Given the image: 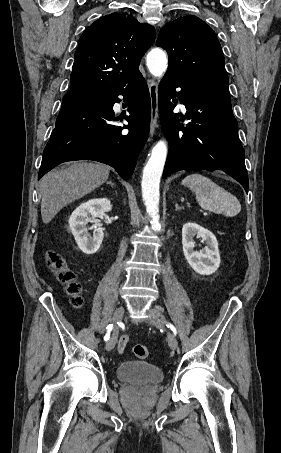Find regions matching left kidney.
I'll return each instance as SVG.
<instances>
[{
  "label": "left kidney",
  "instance_id": "5707ae66",
  "mask_svg": "<svg viewBox=\"0 0 281 453\" xmlns=\"http://www.w3.org/2000/svg\"><path fill=\"white\" fill-rule=\"evenodd\" d=\"M195 235L201 237L202 241L206 243V247L200 253L194 251L195 241H193V237ZM182 245L184 257L195 273L212 275L217 271L220 265L218 241L211 231L200 227L197 222H185L182 229Z\"/></svg>",
  "mask_w": 281,
  "mask_h": 453
}]
</instances>
